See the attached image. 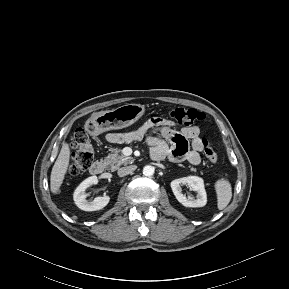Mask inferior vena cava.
Returning <instances> with one entry per match:
<instances>
[{
	"label": "inferior vena cava",
	"mask_w": 289,
	"mask_h": 289,
	"mask_svg": "<svg viewBox=\"0 0 289 289\" xmlns=\"http://www.w3.org/2000/svg\"><path fill=\"white\" fill-rule=\"evenodd\" d=\"M137 168L136 165H130V166H126V167H122L120 169H118V176L123 177L127 174L132 173L133 171H135Z\"/></svg>",
	"instance_id": "1"
}]
</instances>
